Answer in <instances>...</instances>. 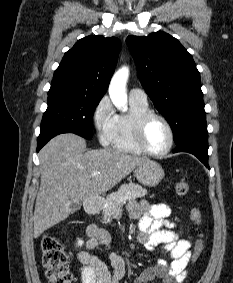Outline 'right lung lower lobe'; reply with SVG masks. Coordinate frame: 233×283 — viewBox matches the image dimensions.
Instances as JSON below:
<instances>
[{"label": "right lung lower lobe", "instance_id": "1", "mask_svg": "<svg viewBox=\"0 0 233 283\" xmlns=\"http://www.w3.org/2000/svg\"><path fill=\"white\" fill-rule=\"evenodd\" d=\"M61 133H66V132H52L50 134H47L45 136H39L37 139V152L54 136L61 134Z\"/></svg>", "mask_w": 233, "mask_h": 283}]
</instances>
